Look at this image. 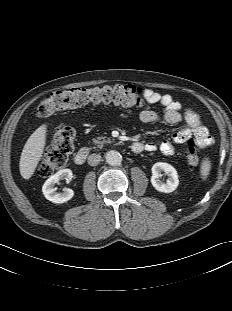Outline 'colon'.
<instances>
[{
	"label": "colon",
	"instance_id": "obj_1",
	"mask_svg": "<svg viewBox=\"0 0 232 311\" xmlns=\"http://www.w3.org/2000/svg\"><path fill=\"white\" fill-rule=\"evenodd\" d=\"M88 103H113L126 107H140L144 104L140 88L133 85L103 86L93 88H72L52 93L40 101L37 115L48 117L55 112L77 108ZM75 130L68 125L58 126L52 142L40 161L38 172L49 176L64 167L74 151ZM186 162L190 169L197 167L199 156L194 139L187 141Z\"/></svg>",
	"mask_w": 232,
	"mask_h": 311
}]
</instances>
